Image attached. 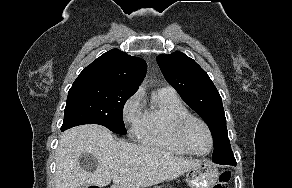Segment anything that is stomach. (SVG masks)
<instances>
[{
    "mask_svg": "<svg viewBox=\"0 0 292 188\" xmlns=\"http://www.w3.org/2000/svg\"><path fill=\"white\" fill-rule=\"evenodd\" d=\"M217 165L201 160L186 172V182L190 188H213L219 178Z\"/></svg>",
    "mask_w": 292,
    "mask_h": 188,
    "instance_id": "1",
    "label": "stomach"
}]
</instances>
